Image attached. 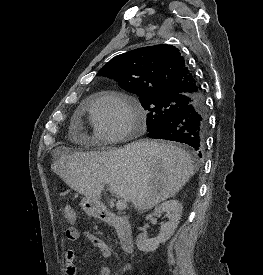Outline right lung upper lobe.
<instances>
[{
    "label": "right lung upper lobe",
    "instance_id": "1",
    "mask_svg": "<svg viewBox=\"0 0 263 275\" xmlns=\"http://www.w3.org/2000/svg\"><path fill=\"white\" fill-rule=\"evenodd\" d=\"M119 81V85L138 96H188L200 88L188 70L179 50L172 45L138 48L121 54L99 71Z\"/></svg>",
    "mask_w": 263,
    "mask_h": 275
}]
</instances>
